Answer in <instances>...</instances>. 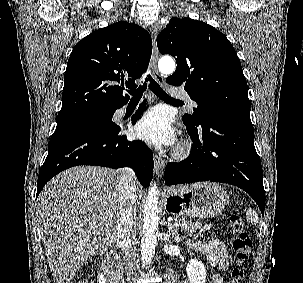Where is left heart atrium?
<instances>
[{
    "label": "left heart atrium",
    "mask_w": 303,
    "mask_h": 283,
    "mask_svg": "<svg viewBox=\"0 0 303 283\" xmlns=\"http://www.w3.org/2000/svg\"><path fill=\"white\" fill-rule=\"evenodd\" d=\"M135 136L156 146H166L174 142L175 133L168 114L154 108L144 114L134 128Z\"/></svg>",
    "instance_id": "obj_1"
}]
</instances>
